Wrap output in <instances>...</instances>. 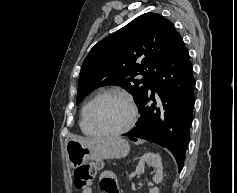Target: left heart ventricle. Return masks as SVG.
Returning a JSON list of instances; mask_svg holds the SVG:
<instances>
[{
  "label": "left heart ventricle",
  "instance_id": "1",
  "mask_svg": "<svg viewBox=\"0 0 237 193\" xmlns=\"http://www.w3.org/2000/svg\"><path fill=\"white\" fill-rule=\"evenodd\" d=\"M93 119L101 130L115 131L127 125L130 119V110L122 100L115 97H105L96 104Z\"/></svg>",
  "mask_w": 237,
  "mask_h": 193
}]
</instances>
